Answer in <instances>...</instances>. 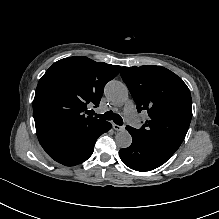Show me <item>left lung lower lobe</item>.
<instances>
[{"label": "left lung lower lobe", "mask_w": 219, "mask_h": 219, "mask_svg": "<svg viewBox=\"0 0 219 219\" xmlns=\"http://www.w3.org/2000/svg\"><path fill=\"white\" fill-rule=\"evenodd\" d=\"M132 136V144L128 148L121 149L119 156L129 168L145 172L158 168L172 155L148 144L141 136L126 127Z\"/></svg>", "instance_id": "left-lung-lower-lobe-1"}]
</instances>
